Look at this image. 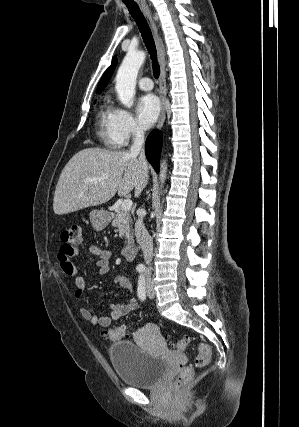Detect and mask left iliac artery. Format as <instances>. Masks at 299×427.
Wrapping results in <instances>:
<instances>
[{
    "label": "left iliac artery",
    "instance_id": "left-iliac-artery-1",
    "mask_svg": "<svg viewBox=\"0 0 299 427\" xmlns=\"http://www.w3.org/2000/svg\"><path fill=\"white\" fill-rule=\"evenodd\" d=\"M145 283H146L145 276L142 273L138 278V287H137V295L141 300L145 299Z\"/></svg>",
    "mask_w": 299,
    "mask_h": 427
}]
</instances>
